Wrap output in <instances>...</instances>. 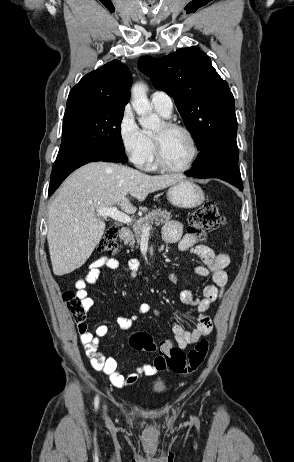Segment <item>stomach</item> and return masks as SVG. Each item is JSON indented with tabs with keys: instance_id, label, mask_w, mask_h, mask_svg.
<instances>
[{
	"instance_id": "stomach-1",
	"label": "stomach",
	"mask_w": 294,
	"mask_h": 462,
	"mask_svg": "<svg viewBox=\"0 0 294 462\" xmlns=\"http://www.w3.org/2000/svg\"><path fill=\"white\" fill-rule=\"evenodd\" d=\"M167 198L174 206L195 208L204 202L205 195L201 187L188 179H183L171 185L167 191Z\"/></svg>"
}]
</instances>
